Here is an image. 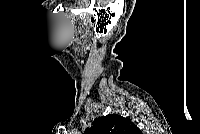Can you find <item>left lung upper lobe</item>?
Returning a JSON list of instances; mask_svg holds the SVG:
<instances>
[{"mask_svg":"<svg viewBox=\"0 0 200 134\" xmlns=\"http://www.w3.org/2000/svg\"><path fill=\"white\" fill-rule=\"evenodd\" d=\"M84 134H141V131L127 118L109 114L95 119Z\"/></svg>","mask_w":200,"mask_h":134,"instance_id":"5c2ea615","label":"left lung upper lobe"}]
</instances>
